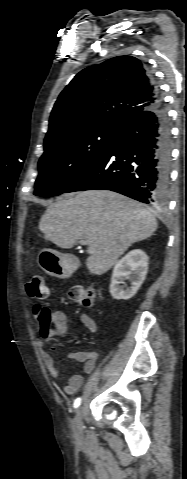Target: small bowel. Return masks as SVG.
<instances>
[{
    "instance_id": "small-bowel-1",
    "label": "small bowel",
    "mask_w": 187,
    "mask_h": 479,
    "mask_svg": "<svg viewBox=\"0 0 187 479\" xmlns=\"http://www.w3.org/2000/svg\"><path fill=\"white\" fill-rule=\"evenodd\" d=\"M53 320L56 324V330L54 336L59 338H65L69 335L68 330V321L65 314L61 311H55L52 313ZM81 322L83 325L91 332L96 333L98 326L95 319L87 313L81 315ZM40 346V357L48 370L50 376L54 379H58L61 376L60 368L55 364L51 355L42 348V343ZM67 357L71 360L83 363L84 373H92L95 369L97 355L95 352L89 351H71L67 354ZM83 375L81 373H76L68 378L66 383L63 386V392L66 395H74L82 386Z\"/></svg>"
}]
</instances>
